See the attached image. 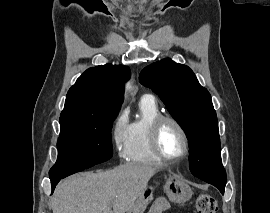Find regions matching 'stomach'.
I'll use <instances>...</instances> for the list:
<instances>
[{"instance_id":"1","label":"stomach","mask_w":270,"mask_h":213,"mask_svg":"<svg viewBox=\"0 0 270 213\" xmlns=\"http://www.w3.org/2000/svg\"><path fill=\"white\" fill-rule=\"evenodd\" d=\"M159 177L162 179L164 192L172 202L184 203L191 198L192 190L184 179L166 171H162ZM152 198V190L146 189L126 213H144Z\"/></svg>"}]
</instances>
